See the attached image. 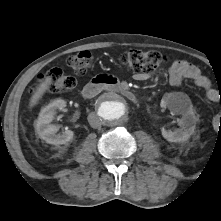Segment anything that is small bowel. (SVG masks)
Segmentation results:
<instances>
[{"label": "small bowel", "mask_w": 221, "mask_h": 221, "mask_svg": "<svg viewBox=\"0 0 221 221\" xmlns=\"http://www.w3.org/2000/svg\"><path fill=\"white\" fill-rule=\"evenodd\" d=\"M134 78L138 81H144L148 78V75L137 73L134 75ZM184 79H189L193 81L196 86L204 89L208 100L212 102L220 100V94L211 88L208 78L201 73L197 66L186 60H176L169 68V83L177 86L181 84Z\"/></svg>", "instance_id": "1"}]
</instances>
